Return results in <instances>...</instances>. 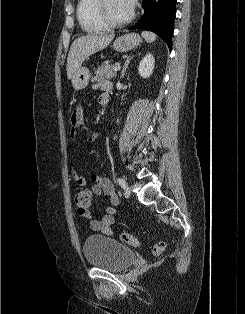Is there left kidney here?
<instances>
[{"label":"left kidney","mask_w":245,"mask_h":314,"mask_svg":"<svg viewBox=\"0 0 245 314\" xmlns=\"http://www.w3.org/2000/svg\"><path fill=\"white\" fill-rule=\"evenodd\" d=\"M155 59L151 53L146 54L139 63V75L142 78H149L154 69Z\"/></svg>","instance_id":"left-kidney-1"}]
</instances>
